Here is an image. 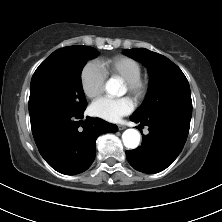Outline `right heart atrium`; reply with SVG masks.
<instances>
[{"label":"right heart atrium","instance_id":"d8ad5b80","mask_svg":"<svg viewBox=\"0 0 222 222\" xmlns=\"http://www.w3.org/2000/svg\"><path fill=\"white\" fill-rule=\"evenodd\" d=\"M106 74L96 61L87 62L80 72V84L88 98H95L103 91Z\"/></svg>","mask_w":222,"mask_h":222}]
</instances>
